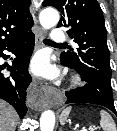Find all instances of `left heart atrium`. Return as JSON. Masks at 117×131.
Here are the masks:
<instances>
[{
    "label": "left heart atrium",
    "instance_id": "1",
    "mask_svg": "<svg viewBox=\"0 0 117 131\" xmlns=\"http://www.w3.org/2000/svg\"><path fill=\"white\" fill-rule=\"evenodd\" d=\"M32 70L37 75L45 78H52L56 75L55 68L50 65L48 58L45 55H39L34 59Z\"/></svg>",
    "mask_w": 117,
    "mask_h": 131
}]
</instances>
